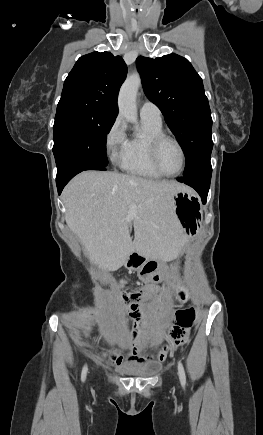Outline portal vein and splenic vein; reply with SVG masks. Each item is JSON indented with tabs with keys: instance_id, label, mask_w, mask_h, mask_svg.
<instances>
[{
	"instance_id": "18ae733b",
	"label": "portal vein and splenic vein",
	"mask_w": 263,
	"mask_h": 435,
	"mask_svg": "<svg viewBox=\"0 0 263 435\" xmlns=\"http://www.w3.org/2000/svg\"><path fill=\"white\" fill-rule=\"evenodd\" d=\"M135 216H136V206L135 205H131V206H129L128 220L133 219Z\"/></svg>"
}]
</instances>
